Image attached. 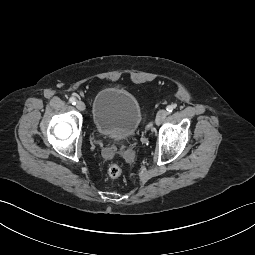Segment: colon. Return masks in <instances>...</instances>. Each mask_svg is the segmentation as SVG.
<instances>
[{
  "instance_id": "colon-1",
  "label": "colon",
  "mask_w": 255,
  "mask_h": 255,
  "mask_svg": "<svg viewBox=\"0 0 255 255\" xmlns=\"http://www.w3.org/2000/svg\"><path fill=\"white\" fill-rule=\"evenodd\" d=\"M107 173L110 178H118L122 174V167L117 163H113L109 166Z\"/></svg>"
}]
</instances>
